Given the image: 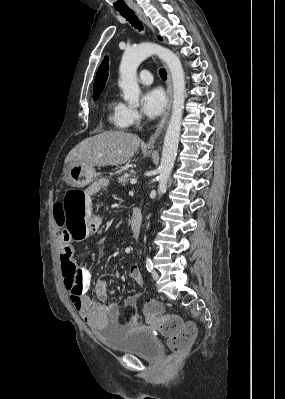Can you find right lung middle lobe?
Returning a JSON list of instances; mask_svg holds the SVG:
<instances>
[{"mask_svg":"<svg viewBox=\"0 0 285 399\" xmlns=\"http://www.w3.org/2000/svg\"><path fill=\"white\" fill-rule=\"evenodd\" d=\"M99 95L100 94L93 95L94 100H96L99 97Z\"/></svg>","mask_w":285,"mask_h":399,"instance_id":"right-lung-middle-lobe-1","label":"right lung middle lobe"}]
</instances>
